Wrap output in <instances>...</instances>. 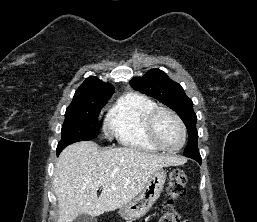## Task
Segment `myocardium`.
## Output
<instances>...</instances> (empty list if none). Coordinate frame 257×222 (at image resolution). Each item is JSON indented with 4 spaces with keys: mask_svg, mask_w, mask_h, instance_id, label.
<instances>
[{
    "mask_svg": "<svg viewBox=\"0 0 257 222\" xmlns=\"http://www.w3.org/2000/svg\"><path fill=\"white\" fill-rule=\"evenodd\" d=\"M161 113H167L169 115H171L176 122L178 123L180 129H181V133H182V141L181 144L176 147V148H168L165 145H163L161 143V141L158 139L156 132H155V123L156 120L158 118V116ZM145 130L147 133L148 138L151 140V142L158 147L160 150L166 151V152H177L180 151L187 140V130H186V126L183 122V120L181 119V117L172 109L167 108V107H156L155 109H153L147 116L146 118V122H145Z\"/></svg>",
    "mask_w": 257,
    "mask_h": 222,
    "instance_id": "myocardium-1",
    "label": "myocardium"
}]
</instances>
